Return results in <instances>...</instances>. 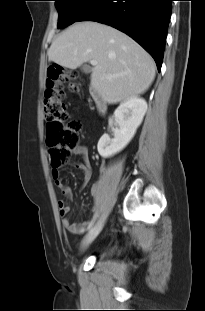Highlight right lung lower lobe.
Instances as JSON below:
<instances>
[{
  "label": "right lung lower lobe",
  "mask_w": 205,
  "mask_h": 311,
  "mask_svg": "<svg viewBox=\"0 0 205 311\" xmlns=\"http://www.w3.org/2000/svg\"><path fill=\"white\" fill-rule=\"evenodd\" d=\"M173 0H97L78 20L110 25L137 41L160 71Z\"/></svg>",
  "instance_id": "98d812e1"
}]
</instances>
